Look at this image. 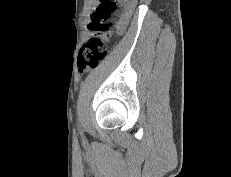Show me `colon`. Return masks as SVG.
Here are the masks:
<instances>
[{
    "instance_id": "colon-1",
    "label": "colon",
    "mask_w": 231,
    "mask_h": 177,
    "mask_svg": "<svg viewBox=\"0 0 231 177\" xmlns=\"http://www.w3.org/2000/svg\"><path fill=\"white\" fill-rule=\"evenodd\" d=\"M118 2L131 6L134 0H99L98 7L92 12L88 23L91 36L78 53L80 72L95 69L105 59L112 34L110 17L115 13Z\"/></svg>"
}]
</instances>
